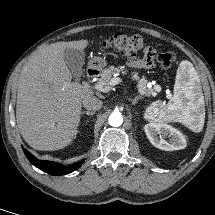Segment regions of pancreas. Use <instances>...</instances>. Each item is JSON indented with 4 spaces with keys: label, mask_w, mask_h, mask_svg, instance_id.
<instances>
[{
    "label": "pancreas",
    "mask_w": 215,
    "mask_h": 215,
    "mask_svg": "<svg viewBox=\"0 0 215 215\" xmlns=\"http://www.w3.org/2000/svg\"><path fill=\"white\" fill-rule=\"evenodd\" d=\"M128 71L129 70L126 69L124 66H109L102 71L99 82L109 83L114 75L118 74L119 72L128 73ZM131 80L138 82L137 87L141 95L155 96L157 94L156 92L161 90V87L159 85H155L154 88L149 87L148 80L146 79V77L143 76L142 78H140L137 71H131Z\"/></svg>",
    "instance_id": "cf45deb5"
}]
</instances>
